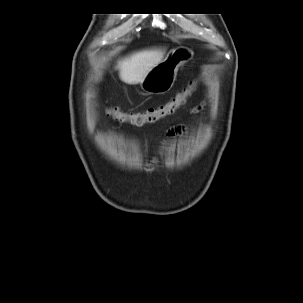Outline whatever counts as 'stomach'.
Listing matches in <instances>:
<instances>
[{
    "label": "stomach",
    "mask_w": 303,
    "mask_h": 303,
    "mask_svg": "<svg viewBox=\"0 0 303 303\" xmlns=\"http://www.w3.org/2000/svg\"><path fill=\"white\" fill-rule=\"evenodd\" d=\"M193 52L179 47L168 52L166 57L153 67L140 86L148 94H164L168 92L176 79L179 67L191 59Z\"/></svg>",
    "instance_id": "obj_1"
}]
</instances>
